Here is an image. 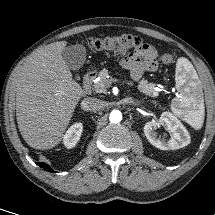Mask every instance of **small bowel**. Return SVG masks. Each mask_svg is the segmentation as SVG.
Wrapping results in <instances>:
<instances>
[{
  "mask_svg": "<svg viewBox=\"0 0 215 215\" xmlns=\"http://www.w3.org/2000/svg\"><path fill=\"white\" fill-rule=\"evenodd\" d=\"M157 52L150 44H143L141 48L121 60V65L128 69L134 80H139L145 72L158 69Z\"/></svg>",
  "mask_w": 215,
  "mask_h": 215,
  "instance_id": "1",
  "label": "small bowel"
}]
</instances>
